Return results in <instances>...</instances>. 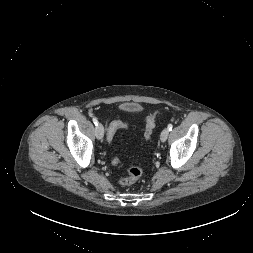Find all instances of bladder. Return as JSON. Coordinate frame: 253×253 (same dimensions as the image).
Instances as JSON below:
<instances>
[{
	"mask_svg": "<svg viewBox=\"0 0 253 253\" xmlns=\"http://www.w3.org/2000/svg\"><path fill=\"white\" fill-rule=\"evenodd\" d=\"M131 107H133V105H131V104H126L125 105V108H131Z\"/></svg>",
	"mask_w": 253,
	"mask_h": 253,
	"instance_id": "bladder-1",
	"label": "bladder"
}]
</instances>
